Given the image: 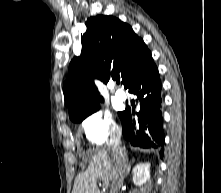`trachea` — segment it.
Masks as SVG:
<instances>
[{"label":"trachea","mask_w":221,"mask_h":193,"mask_svg":"<svg viewBox=\"0 0 221 193\" xmlns=\"http://www.w3.org/2000/svg\"><path fill=\"white\" fill-rule=\"evenodd\" d=\"M117 83L119 84V83H120V81H119V80H117Z\"/></svg>","instance_id":"trachea-1"}]
</instances>
